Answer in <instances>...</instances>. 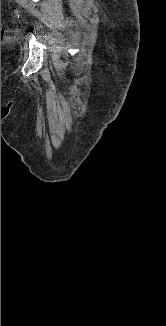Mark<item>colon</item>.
<instances>
[{
  "mask_svg": "<svg viewBox=\"0 0 166 326\" xmlns=\"http://www.w3.org/2000/svg\"><path fill=\"white\" fill-rule=\"evenodd\" d=\"M3 39H4V29L1 26V42L3 41Z\"/></svg>",
  "mask_w": 166,
  "mask_h": 326,
  "instance_id": "5ec220e1",
  "label": "colon"
}]
</instances>
